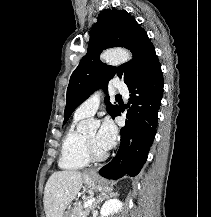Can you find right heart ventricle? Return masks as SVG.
<instances>
[{"label": "right heart ventricle", "instance_id": "e07e8e85", "mask_svg": "<svg viewBox=\"0 0 211 217\" xmlns=\"http://www.w3.org/2000/svg\"><path fill=\"white\" fill-rule=\"evenodd\" d=\"M82 119V117L75 115L73 122L63 137L58 161L59 167L62 169L78 170L89 163L84 151L83 135L77 128Z\"/></svg>", "mask_w": 211, "mask_h": 217}]
</instances>
